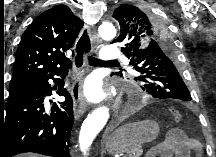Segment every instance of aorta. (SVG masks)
Returning a JSON list of instances; mask_svg holds the SVG:
<instances>
[{"mask_svg": "<svg viewBox=\"0 0 216 157\" xmlns=\"http://www.w3.org/2000/svg\"><path fill=\"white\" fill-rule=\"evenodd\" d=\"M99 35L104 40L113 39L116 29L111 22H104L99 27ZM109 118V109L99 107L95 109L83 122L79 135L81 151L86 154L97 134L104 128Z\"/></svg>", "mask_w": 216, "mask_h": 157, "instance_id": "obj_1", "label": "aorta"}]
</instances>
